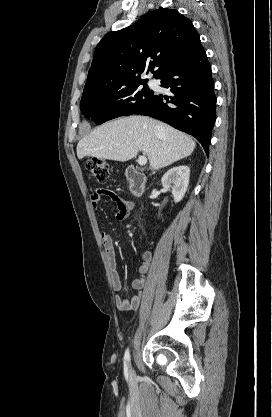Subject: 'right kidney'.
Masks as SVG:
<instances>
[{
    "mask_svg": "<svg viewBox=\"0 0 272 417\" xmlns=\"http://www.w3.org/2000/svg\"><path fill=\"white\" fill-rule=\"evenodd\" d=\"M190 168L185 165L171 168L161 179L165 189H171L174 201L180 202L189 184Z\"/></svg>",
    "mask_w": 272,
    "mask_h": 417,
    "instance_id": "obj_1",
    "label": "right kidney"
}]
</instances>
